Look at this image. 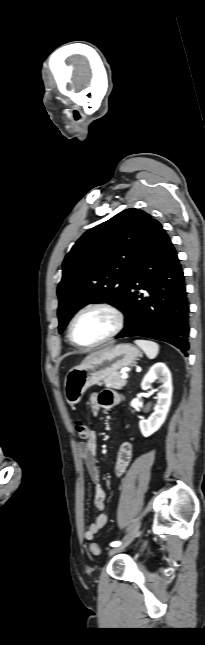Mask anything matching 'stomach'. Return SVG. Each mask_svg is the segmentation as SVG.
I'll use <instances>...</instances> for the list:
<instances>
[{
	"mask_svg": "<svg viewBox=\"0 0 205 645\" xmlns=\"http://www.w3.org/2000/svg\"><path fill=\"white\" fill-rule=\"evenodd\" d=\"M140 355L138 348L132 344L123 343L72 368L64 381V395L67 403L71 406L77 404L88 388L117 373L118 370L132 365Z\"/></svg>",
	"mask_w": 205,
	"mask_h": 645,
	"instance_id": "0dacf381",
	"label": "stomach"
}]
</instances>
